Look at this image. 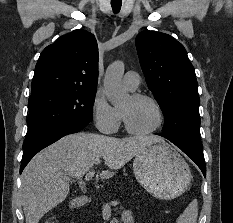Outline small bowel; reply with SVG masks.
Masks as SVG:
<instances>
[{"mask_svg": "<svg viewBox=\"0 0 233 223\" xmlns=\"http://www.w3.org/2000/svg\"><path fill=\"white\" fill-rule=\"evenodd\" d=\"M122 223H135L133 213L130 210H124L121 216Z\"/></svg>", "mask_w": 233, "mask_h": 223, "instance_id": "small-bowel-1", "label": "small bowel"}]
</instances>
